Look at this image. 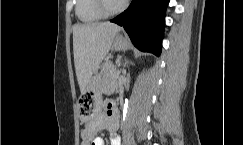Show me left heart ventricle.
Instances as JSON below:
<instances>
[{
    "mask_svg": "<svg viewBox=\"0 0 243 145\" xmlns=\"http://www.w3.org/2000/svg\"><path fill=\"white\" fill-rule=\"evenodd\" d=\"M108 5L111 8H116L118 7L124 0H107Z\"/></svg>",
    "mask_w": 243,
    "mask_h": 145,
    "instance_id": "obj_1",
    "label": "left heart ventricle"
}]
</instances>
